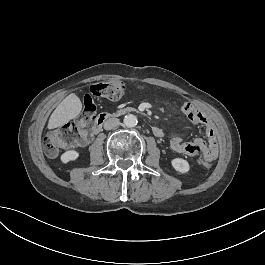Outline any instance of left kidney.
I'll use <instances>...</instances> for the list:
<instances>
[{
  "label": "left kidney",
  "instance_id": "1",
  "mask_svg": "<svg viewBox=\"0 0 265 265\" xmlns=\"http://www.w3.org/2000/svg\"><path fill=\"white\" fill-rule=\"evenodd\" d=\"M171 166L176 172L180 174H187L190 171L189 162L184 158H173L171 160Z\"/></svg>",
  "mask_w": 265,
  "mask_h": 265
}]
</instances>
